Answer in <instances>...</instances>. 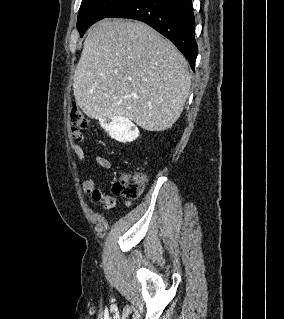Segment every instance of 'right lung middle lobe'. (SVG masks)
<instances>
[{
    "label": "right lung middle lobe",
    "instance_id": "dd1d6c3e",
    "mask_svg": "<svg viewBox=\"0 0 284 319\" xmlns=\"http://www.w3.org/2000/svg\"><path fill=\"white\" fill-rule=\"evenodd\" d=\"M129 1L131 0H82L77 20V29L81 37L88 27L108 17Z\"/></svg>",
    "mask_w": 284,
    "mask_h": 319
}]
</instances>
